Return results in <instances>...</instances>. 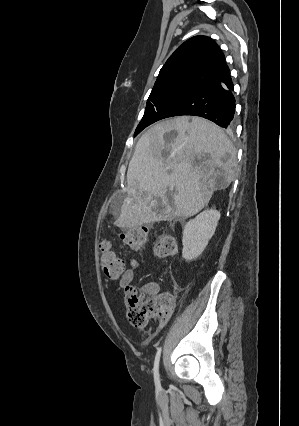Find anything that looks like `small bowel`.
Instances as JSON below:
<instances>
[{
    "mask_svg": "<svg viewBox=\"0 0 299 426\" xmlns=\"http://www.w3.org/2000/svg\"><path fill=\"white\" fill-rule=\"evenodd\" d=\"M130 268L126 269L125 272L118 278V286L120 289H126L132 282L134 278V270L140 269V264L135 259L129 260ZM149 287L156 293L158 291V286L156 284H151ZM166 316H162L159 320V323L152 333L159 331L165 324Z\"/></svg>",
    "mask_w": 299,
    "mask_h": 426,
    "instance_id": "obj_1",
    "label": "small bowel"
}]
</instances>
